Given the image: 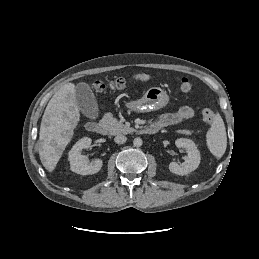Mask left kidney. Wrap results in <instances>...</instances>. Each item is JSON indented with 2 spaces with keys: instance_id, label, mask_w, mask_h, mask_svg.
<instances>
[{
  "instance_id": "obj_1",
  "label": "left kidney",
  "mask_w": 259,
  "mask_h": 259,
  "mask_svg": "<svg viewBox=\"0 0 259 259\" xmlns=\"http://www.w3.org/2000/svg\"><path fill=\"white\" fill-rule=\"evenodd\" d=\"M177 147L185 148L187 150V157L185 162L178 164L176 162H171L169 164L170 172L177 175H187L190 172L197 169L200 164V152L197 149L195 143L187 138H179L175 141Z\"/></svg>"
}]
</instances>
